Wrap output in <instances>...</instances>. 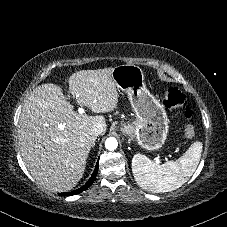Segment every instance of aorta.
I'll list each match as a JSON object with an SVG mask.
<instances>
[{"mask_svg":"<svg viewBox=\"0 0 227 227\" xmlns=\"http://www.w3.org/2000/svg\"><path fill=\"white\" fill-rule=\"evenodd\" d=\"M118 146V142L116 140V138L114 137H109L106 139L105 141V147L107 150H115Z\"/></svg>","mask_w":227,"mask_h":227,"instance_id":"762f6f07","label":"aorta"}]
</instances>
